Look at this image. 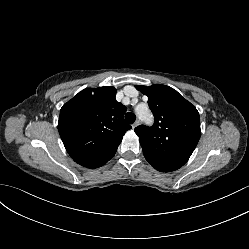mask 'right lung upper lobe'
Listing matches in <instances>:
<instances>
[{"mask_svg": "<svg viewBox=\"0 0 249 249\" xmlns=\"http://www.w3.org/2000/svg\"><path fill=\"white\" fill-rule=\"evenodd\" d=\"M114 87L86 88L63 105L58 131L78 164L116 153L131 126L124 121L127 108L115 99Z\"/></svg>", "mask_w": 249, "mask_h": 249, "instance_id": "right-lung-upper-lobe-1", "label": "right lung upper lobe"}]
</instances>
